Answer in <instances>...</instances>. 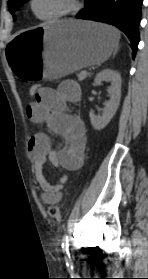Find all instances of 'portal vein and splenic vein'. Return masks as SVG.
Here are the masks:
<instances>
[{
  "mask_svg": "<svg viewBox=\"0 0 148 279\" xmlns=\"http://www.w3.org/2000/svg\"><path fill=\"white\" fill-rule=\"evenodd\" d=\"M87 74H88L87 71H83L82 74H81V77L84 78V77L87 76Z\"/></svg>",
  "mask_w": 148,
  "mask_h": 279,
  "instance_id": "18ae733b",
  "label": "portal vein and splenic vein"
}]
</instances>
